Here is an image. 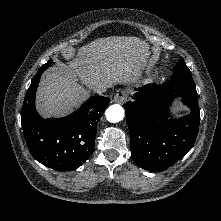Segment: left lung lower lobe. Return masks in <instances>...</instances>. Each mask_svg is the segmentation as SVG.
Masks as SVG:
<instances>
[{"label": "left lung lower lobe", "mask_w": 221, "mask_h": 221, "mask_svg": "<svg viewBox=\"0 0 221 221\" xmlns=\"http://www.w3.org/2000/svg\"><path fill=\"white\" fill-rule=\"evenodd\" d=\"M177 97L191 110L181 120L169 118L167 113V106ZM125 112L131 154L145 170L163 171L171 167L195 143L200 110L192 75H175L172 83L140 87L135 100L125 104Z\"/></svg>", "instance_id": "0a47b994"}]
</instances>
